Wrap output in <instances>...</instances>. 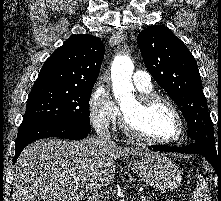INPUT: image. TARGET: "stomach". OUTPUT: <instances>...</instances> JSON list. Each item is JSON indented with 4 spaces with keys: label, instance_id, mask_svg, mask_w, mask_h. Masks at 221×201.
Here are the masks:
<instances>
[{
    "label": "stomach",
    "instance_id": "1",
    "mask_svg": "<svg viewBox=\"0 0 221 201\" xmlns=\"http://www.w3.org/2000/svg\"><path fill=\"white\" fill-rule=\"evenodd\" d=\"M129 167L160 192H169L182 182V172L179 167L161 153L152 152L140 160L130 162Z\"/></svg>",
    "mask_w": 221,
    "mask_h": 201
}]
</instances>
